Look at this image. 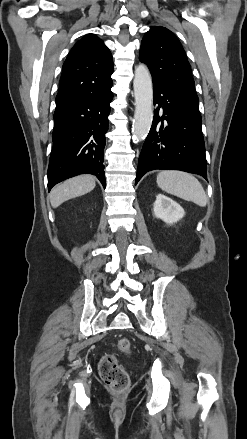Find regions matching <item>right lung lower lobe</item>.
<instances>
[{"instance_id":"obj_1","label":"right lung lower lobe","mask_w":247,"mask_h":439,"mask_svg":"<svg viewBox=\"0 0 247 439\" xmlns=\"http://www.w3.org/2000/svg\"><path fill=\"white\" fill-rule=\"evenodd\" d=\"M111 87L56 107L48 167L49 190L55 184L83 173L95 175L106 186L103 160L113 97Z\"/></svg>"}]
</instances>
